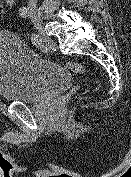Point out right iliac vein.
Here are the masks:
<instances>
[{
    "mask_svg": "<svg viewBox=\"0 0 131 177\" xmlns=\"http://www.w3.org/2000/svg\"><path fill=\"white\" fill-rule=\"evenodd\" d=\"M29 15L30 18L33 22V24L35 25V27L37 28V30L39 31V34L41 36V39L43 42H48V43H52V39L51 37H49L46 33V31L43 29L42 24H41V17L38 14L37 10L34 8L29 9Z\"/></svg>",
    "mask_w": 131,
    "mask_h": 177,
    "instance_id": "63e3f726",
    "label": "right iliac vein"
}]
</instances>
